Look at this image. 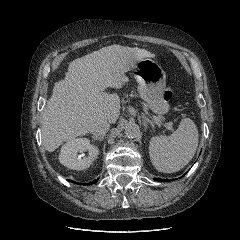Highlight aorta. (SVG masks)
I'll return each mask as SVG.
<instances>
[{
	"label": "aorta",
	"instance_id": "1",
	"mask_svg": "<svg viewBox=\"0 0 240 240\" xmlns=\"http://www.w3.org/2000/svg\"><path fill=\"white\" fill-rule=\"evenodd\" d=\"M140 134V128L136 123H130L125 128V136L127 138H136Z\"/></svg>",
	"mask_w": 240,
	"mask_h": 240
}]
</instances>
